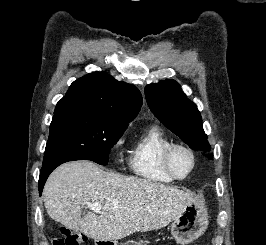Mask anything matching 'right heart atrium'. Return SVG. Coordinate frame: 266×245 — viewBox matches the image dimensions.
Wrapping results in <instances>:
<instances>
[{
	"label": "right heart atrium",
	"instance_id": "right-heart-atrium-1",
	"mask_svg": "<svg viewBox=\"0 0 266 245\" xmlns=\"http://www.w3.org/2000/svg\"><path fill=\"white\" fill-rule=\"evenodd\" d=\"M125 143V136L120 135L114 139V146L121 147Z\"/></svg>",
	"mask_w": 266,
	"mask_h": 245
}]
</instances>
